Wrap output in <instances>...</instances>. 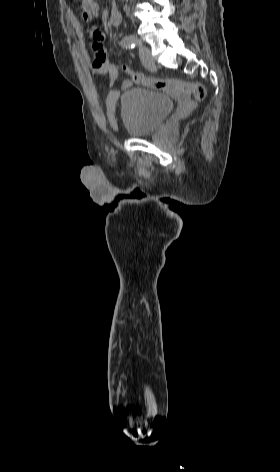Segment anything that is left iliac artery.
I'll return each mask as SVG.
<instances>
[{"mask_svg":"<svg viewBox=\"0 0 280 472\" xmlns=\"http://www.w3.org/2000/svg\"><path fill=\"white\" fill-rule=\"evenodd\" d=\"M139 43V40L137 37L133 36V35H130V36H126L124 37L122 40H121V46L123 48H134L136 46V44Z\"/></svg>","mask_w":280,"mask_h":472,"instance_id":"left-iliac-artery-1","label":"left iliac artery"}]
</instances>
